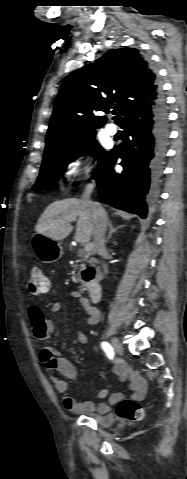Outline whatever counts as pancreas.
Returning <instances> with one entry per match:
<instances>
[{"label": "pancreas", "instance_id": "pancreas-1", "mask_svg": "<svg viewBox=\"0 0 187 479\" xmlns=\"http://www.w3.org/2000/svg\"><path fill=\"white\" fill-rule=\"evenodd\" d=\"M75 267H76V269H77V266H75ZM84 267H85V264H84V263L80 264V269H79V270L77 271V273L75 274V280H76L77 282H81V289H82V290L89 286V284H88L86 281H84V280L82 279V277H81V271L83 270Z\"/></svg>", "mask_w": 187, "mask_h": 479}]
</instances>
